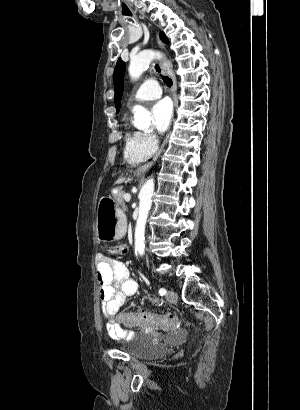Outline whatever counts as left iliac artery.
I'll list each match as a JSON object with an SVG mask.
<instances>
[{"instance_id": "obj_1", "label": "left iliac artery", "mask_w": 300, "mask_h": 410, "mask_svg": "<svg viewBox=\"0 0 300 410\" xmlns=\"http://www.w3.org/2000/svg\"><path fill=\"white\" fill-rule=\"evenodd\" d=\"M166 292H167V291H166L165 288H160V289H159V294H160L161 296L165 295Z\"/></svg>"}]
</instances>
